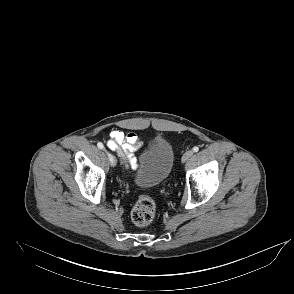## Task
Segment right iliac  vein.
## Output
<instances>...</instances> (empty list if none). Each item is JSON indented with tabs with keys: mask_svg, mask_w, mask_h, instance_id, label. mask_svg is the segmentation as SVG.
<instances>
[{
	"mask_svg": "<svg viewBox=\"0 0 294 294\" xmlns=\"http://www.w3.org/2000/svg\"><path fill=\"white\" fill-rule=\"evenodd\" d=\"M112 163H111V165L112 166H115L116 165V158L112 155Z\"/></svg>",
	"mask_w": 294,
	"mask_h": 294,
	"instance_id": "right-iliac-vein-1",
	"label": "right iliac vein"
}]
</instances>
